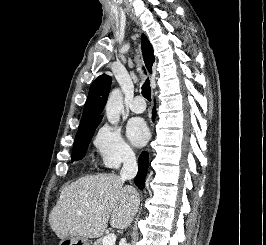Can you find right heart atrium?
<instances>
[{
  "label": "right heart atrium",
  "instance_id": "d8ad5b80",
  "mask_svg": "<svg viewBox=\"0 0 266 245\" xmlns=\"http://www.w3.org/2000/svg\"><path fill=\"white\" fill-rule=\"evenodd\" d=\"M92 143L101 165L107 170H115L135 159L133 148L115 125L108 123L100 125L93 135Z\"/></svg>",
  "mask_w": 266,
  "mask_h": 245
}]
</instances>
